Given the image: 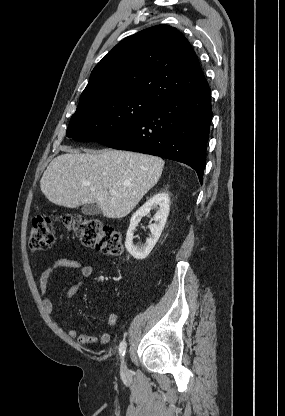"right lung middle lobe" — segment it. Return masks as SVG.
<instances>
[{
  "mask_svg": "<svg viewBox=\"0 0 285 416\" xmlns=\"http://www.w3.org/2000/svg\"><path fill=\"white\" fill-rule=\"evenodd\" d=\"M158 106L150 100L132 96L77 109L66 136L82 142L100 141L131 126Z\"/></svg>",
  "mask_w": 285,
  "mask_h": 416,
  "instance_id": "obj_1",
  "label": "right lung middle lobe"
}]
</instances>
